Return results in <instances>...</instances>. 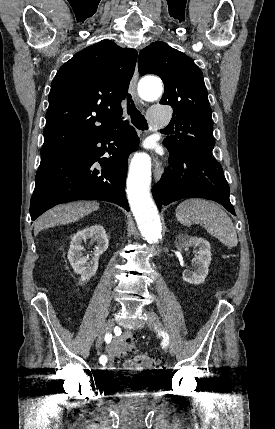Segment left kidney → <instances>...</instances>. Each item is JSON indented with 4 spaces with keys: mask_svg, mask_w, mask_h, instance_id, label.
Returning a JSON list of instances; mask_svg holds the SVG:
<instances>
[{
    "mask_svg": "<svg viewBox=\"0 0 275 429\" xmlns=\"http://www.w3.org/2000/svg\"><path fill=\"white\" fill-rule=\"evenodd\" d=\"M178 250H182L189 246L198 247V255L192 260L195 266L194 271L184 270L182 278L190 284H201L208 275V268L211 263V246L210 243L198 237H191L186 234H180L175 240Z\"/></svg>",
    "mask_w": 275,
    "mask_h": 429,
    "instance_id": "1",
    "label": "left kidney"
}]
</instances>
